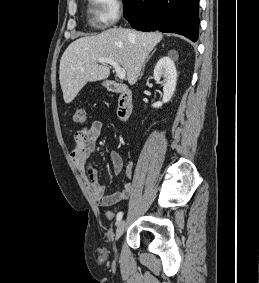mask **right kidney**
I'll list each match as a JSON object with an SVG mask.
<instances>
[{"label": "right kidney", "mask_w": 259, "mask_h": 283, "mask_svg": "<svg viewBox=\"0 0 259 283\" xmlns=\"http://www.w3.org/2000/svg\"><path fill=\"white\" fill-rule=\"evenodd\" d=\"M153 76L163 86L164 94L162 101L156 102L153 105L155 108H160L164 103L171 100L175 92L177 71L174 61L169 56L161 58L154 68ZM161 77L164 78L163 81H160Z\"/></svg>", "instance_id": "1"}]
</instances>
